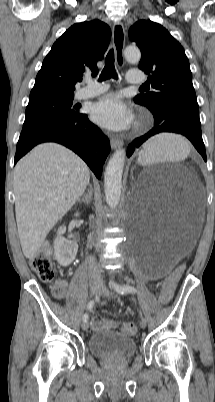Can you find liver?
Here are the masks:
<instances>
[{"label": "liver", "mask_w": 215, "mask_h": 402, "mask_svg": "<svg viewBox=\"0 0 215 402\" xmlns=\"http://www.w3.org/2000/svg\"><path fill=\"white\" fill-rule=\"evenodd\" d=\"M89 179L86 163L57 143L40 144L18 161L15 213L26 258L36 256L50 230L82 196Z\"/></svg>", "instance_id": "6515ba94"}]
</instances>
